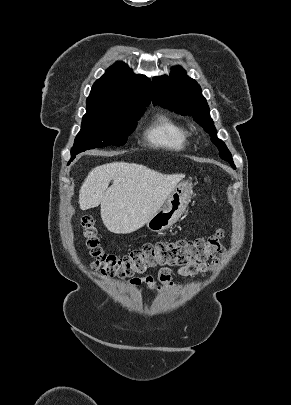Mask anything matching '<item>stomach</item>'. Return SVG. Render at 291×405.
<instances>
[{
	"label": "stomach",
	"instance_id": "1",
	"mask_svg": "<svg viewBox=\"0 0 291 405\" xmlns=\"http://www.w3.org/2000/svg\"><path fill=\"white\" fill-rule=\"evenodd\" d=\"M192 196L190 182L179 183L162 206L146 223L149 230L161 232L175 224L185 212Z\"/></svg>",
	"mask_w": 291,
	"mask_h": 405
}]
</instances>
